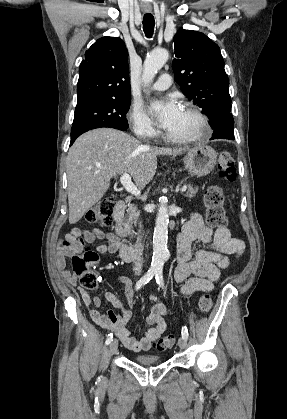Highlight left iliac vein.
<instances>
[{"label": "left iliac vein", "instance_id": "left-iliac-vein-1", "mask_svg": "<svg viewBox=\"0 0 287 419\" xmlns=\"http://www.w3.org/2000/svg\"><path fill=\"white\" fill-rule=\"evenodd\" d=\"M186 345H187V341H186V339H185V338H183V337L179 338V340H178V346H179L181 349H184V348L186 347Z\"/></svg>", "mask_w": 287, "mask_h": 419}]
</instances>
